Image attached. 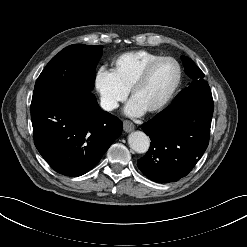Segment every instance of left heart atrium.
Wrapping results in <instances>:
<instances>
[{
	"label": "left heart atrium",
	"mask_w": 247,
	"mask_h": 247,
	"mask_svg": "<svg viewBox=\"0 0 247 247\" xmlns=\"http://www.w3.org/2000/svg\"><path fill=\"white\" fill-rule=\"evenodd\" d=\"M146 112V109L143 108L137 101L133 98L128 102L125 107V113L132 117L142 116Z\"/></svg>",
	"instance_id": "left-heart-atrium-1"
}]
</instances>
